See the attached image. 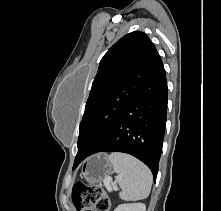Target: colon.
Listing matches in <instances>:
<instances>
[{
	"instance_id": "1",
	"label": "colon",
	"mask_w": 221,
	"mask_h": 211,
	"mask_svg": "<svg viewBox=\"0 0 221 211\" xmlns=\"http://www.w3.org/2000/svg\"><path fill=\"white\" fill-rule=\"evenodd\" d=\"M71 199L77 211H109V199L102 187L76 182L72 186Z\"/></svg>"
}]
</instances>
